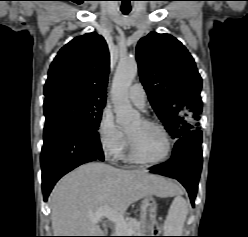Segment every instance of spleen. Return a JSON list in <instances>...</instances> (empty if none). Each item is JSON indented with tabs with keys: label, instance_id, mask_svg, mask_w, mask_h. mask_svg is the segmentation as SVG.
Here are the masks:
<instances>
[{
	"label": "spleen",
	"instance_id": "3e777b00",
	"mask_svg": "<svg viewBox=\"0 0 248 237\" xmlns=\"http://www.w3.org/2000/svg\"><path fill=\"white\" fill-rule=\"evenodd\" d=\"M187 214L188 205L186 200L181 195H177L169 208L164 222L165 235L181 236Z\"/></svg>",
	"mask_w": 248,
	"mask_h": 237
}]
</instances>
